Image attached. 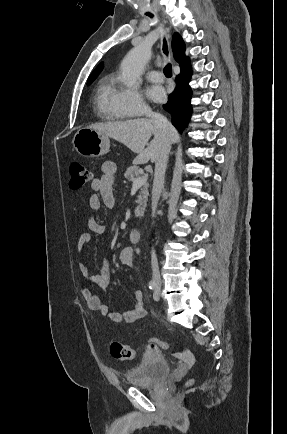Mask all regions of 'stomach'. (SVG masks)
<instances>
[{
    "instance_id": "stomach-1",
    "label": "stomach",
    "mask_w": 287,
    "mask_h": 434,
    "mask_svg": "<svg viewBox=\"0 0 287 434\" xmlns=\"http://www.w3.org/2000/svg\"><path fill=\"white\" fill-rule=\"evenodd\" d=\"M73 146L80 155L95 158L109 151L110 140L108 136L85 127L79 129L74 135Z\"/></svg>"
}]
</instances>
